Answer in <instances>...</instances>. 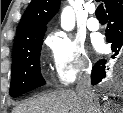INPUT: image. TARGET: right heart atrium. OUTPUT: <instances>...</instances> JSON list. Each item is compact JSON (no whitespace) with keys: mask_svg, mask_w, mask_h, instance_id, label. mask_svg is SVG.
Listing matches in <instances>:
<instances>
[{"mask_svg":"<svg viewBox=\"0 0 123 113\" xmlns=\"http://www.w3.org/2000/svg\"><path fill=\"white\" fill-rule=\"evenodd\" d=\"M52 71L60 85H70L77 76L91 67L84 45L72 35L55 32L47 40Z\"/></svg>","mask_w":123,"mask_h":113,"instance_id":"d8ad5b80","label":"right heart atrium"}]
</instances>
